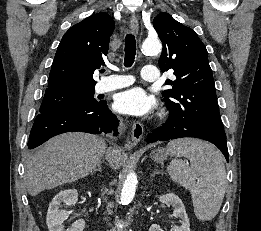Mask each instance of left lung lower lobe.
Instances as JSON below:
<instances>
[{
    "label": "left lung lower lobe",
    "instance_id": "obj_1",
    "mask_svg": "<svg viewBox=\"0 0 261 231\" xmlns=\"http://www.w3.org/2000/svg\"><path fill=\"white\" fill-rule=\"evenodd\" d=\"M183 137H194L209 141L221 150L227 161L229 160L227 142L225 139L217 138L211 134L201 131L178 117L169 116L167 121L161 127H158L152 133L147 135L146 140L147 143H152Z\"/></svg>",
    "mask_w": 261,
    "mask_h": 231
}]
</instances>
